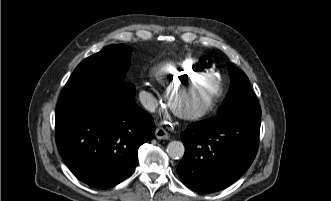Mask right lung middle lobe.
I'll return each instance as SVG.
<instances>
[{
    "label": "right lung middle lobe",
    "mask_w": 331,
    "mask_h": 201,
    "mask_svg": "<svg viewBox=\"0 0 331 201\" xmlns=\"http://www.w3.org/2000/svg\"><path fill=\"white\" fill-rule=\"evenodd\" d=\"M131 48L127 45H110L82 61L70 76L60 98L69 101L99 87L125 83Z\"/></svg>",
    "instance_id": "obj_1"
}]
</instances>
